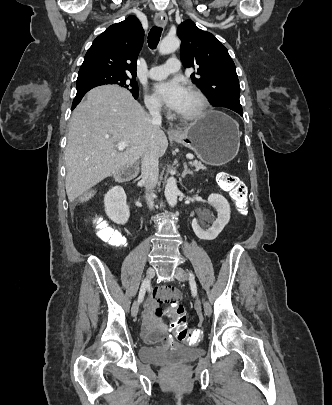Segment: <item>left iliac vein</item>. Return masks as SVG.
I'll use <instances>...</instances> for the list:
<instances>
[{"label":"left iliac vein","mask_w":332,"mask_h":405,"mask_svg":"<svg viewBox=\"0 0 332 405\" xmlns=\"http://www.w3.org/2000/svg\"><path fill=\"white\" fill-rule=\"evenodd\" d=\"M174 277L179 281H186L188 279L187 273L182 268H179V267H177L175 269ZM203 309H204V313L207 316L211 315L212 308H211L210 303L208 301H206V300H203Z\"/></svg>","instance_id":"1"}]
</instances>
